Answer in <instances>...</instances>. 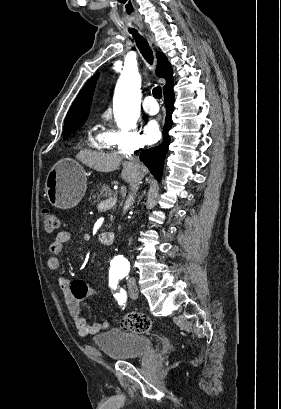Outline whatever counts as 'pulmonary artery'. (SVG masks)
Listing matches in <instances>:
<instances>
[{
	"mask_svg": "<svg viewBox=\"0 0 281 409\" xmlns=\"http://www.w3.org/2000/svg\"><path fill=\"white\" fill-rule=\"evenodd\" d=\"M154 101V96L152 94H147L145 96L144 100V109L147 111L149 114H156L159 109H158V103L153 102Z\"/></svg>",
	"mask_w": 281,
	"mask_h": 409,
	"instance_id": "pulmonary-artery-1",
	"label": "pulmonary artery"
}]
</instances>
